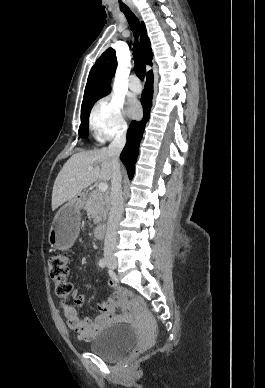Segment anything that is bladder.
<instances>
[{
    "mask_svg": "<svg viewBox=\"0 0 265 388\" xmlns=\"http://www.w3.org/2000/svg\"><path fill=\"white\" fill-rule=\"evenodd\" d=\"M137 335L126 324H117L98 333L89 346V350L103 358H112L127 351L135 343Z\"/></svg>",
    "mask_w": 265,
    "mask_h": 388,
    "instance_id": "obj_1",
    "label": "bladder"
}]
</instances>
